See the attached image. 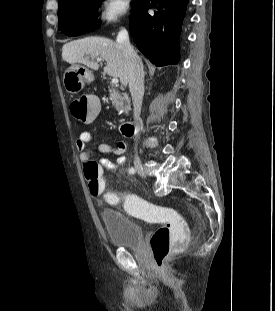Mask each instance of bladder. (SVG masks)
<instances>
[{
    "label": "bladder",
    "mask_w": 275,
    "mask_h": 311,
    "mask_svg": "<svg viewBox=\"0 0 275 311\" xmlns=\"http://www.w3.org/2000/svg\"><path fill=\"white\" fill-rule=\"evenodd\" d=\"M100 219L111 246L127 249H138L142 246L143 230L126 213L104 208L100 212Z\"/></svg>",
    "instance_id": "obj_1"
}]
</instances>
